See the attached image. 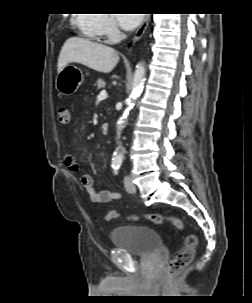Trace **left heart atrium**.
<instances>
[{"label":"left heart atrium","instance_id":"39dd6f15","mask_svg":"<svg viewBox=\"0 0 252 303\" xmlns=\"http://www.w3.org/2000/svg\"><path fill=\"white\" fill-rule=\"evenodd\" d=\"M116 14L119 25L125 30H132L138 26L142 16L139 14Z\"/></svg>","mask_w":252,"mask_h":303}]
</instances>
